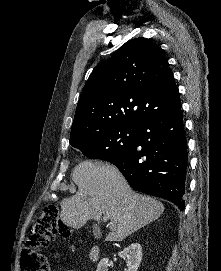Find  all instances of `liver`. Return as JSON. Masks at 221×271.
I'll return each mask as SVG.
<instances>
[{
	"label": "liver",
	"mask_w": 221,
	"mask_h": 271,
	"mask_svg": "<svg viewBox=\"0 0 221 271\" xmlns=\"http://www.w3.org/2000/svg\"><path fill=\"white\" fill-rule=\"evenodd\" d=\"M72 179L78 191L61 203L63 223L82 227L88 219L100 221L107 215L112 227L106 241H122L165 209L158 199L133 191L118 167L110 163L81 161L75 165Z\"/></svg>",
	"instance_id": "1"
}]
</instances>
